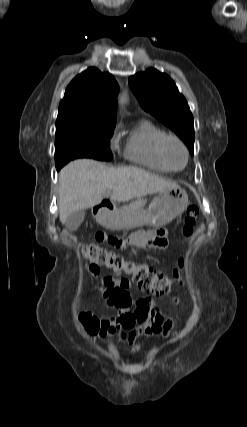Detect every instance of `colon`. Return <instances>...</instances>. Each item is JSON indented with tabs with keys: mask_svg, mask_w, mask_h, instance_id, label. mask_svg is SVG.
Instances as JSON below:
<instances>
[{
	"mask_svg": "<svg viewBox=\"0 0 247 427\" xmlns=\"http://www.w3.org/2000/svg\"><path fill=\"white\" fill-rule=\"evenodd\" d=\"M199 217V209L192 205L187 209V214L183 225V234L186 238L192 236ZM82 256L96 265H102L116 272H124L132 277L139 289L156 295L165 294L169 291L173 283L181 282L180 270H175L170 278L163 273L155 271L153 268L143 263H135L126 260L121 255L99 246L96 243L81 245ZM183 262H179V267ZM80 319L90 334L99 331L100 322L98 318L90 313H83Z\"/></svg>",
	"mask_w": 247,
	"mask_h": 427,
	"instance_id": "5ec220e1",
	"label": "colon"
}]
</instances>
